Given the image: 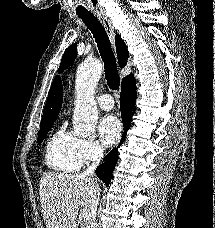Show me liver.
I'll return each instance as SVG.
<instances>
[{"mask_svg":"<svg viewBox=\"0 0 215 228\" xmlns=\"http://www.w3.org/2000/svg\"><path fill=\"white\" fill-rule=\"evenodd\" d=\"M94 182L96 180L82 174L52 172L42 176L39 196L46 228H76L79 206L90 212Z\"/></svg>","mask_w":215,"mask_h":228,"instance_id":"liver-1","label":"liver"}]
</instances>
